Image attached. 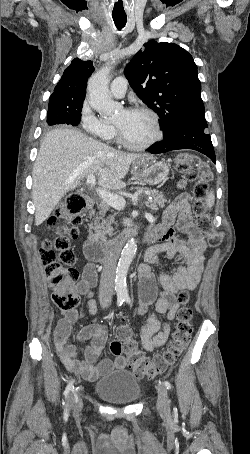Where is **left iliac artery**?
I'll use <instances>...</instances> for the list:
<instances>
[{
  "instance_id": "left-iliac-artery-1",
  "label": "left iliac artery",
  "mask_w": 250,
  "mask_h": 454,
  "mask_svg": "<svg viewBox=\"0 0 250 454\" xmlns=\"http://www.w3.org/2000/svg\"><path fill=\"white\" fill-rule=\"evenodd\" d=\"M125 301H126L127 303H129V304L131 303V300H130L129 297H126V298H125ZM163 385H164L168 390H171V388H172L170 382L167 381V380H165V381L163 382Z\"/></svg>"
}]
</instances>
